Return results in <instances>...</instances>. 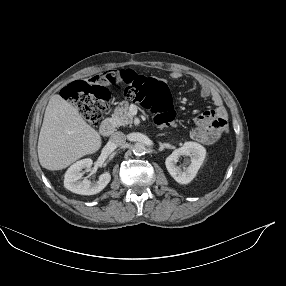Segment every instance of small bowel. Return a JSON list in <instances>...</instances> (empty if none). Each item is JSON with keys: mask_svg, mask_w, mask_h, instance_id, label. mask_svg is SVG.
<instances>
[{"mask_svg": "<svg viewBox=\"0 0 286 286\" xmlns=\"http://www.w3.org/2000/svg\"><path fill=\"white\" fill-rule=\"evenodd\" d=\"M170 77L172 79H179L182 77V73L180 71L175 70V71H172L170 73ZM200 95L203 98L211 99L212 103L215 106L214 109L205 111V112L201 113L200 115H205L207 113H214V114L218 115L226 124L227 113H226V110L223 106V100H222L220 94L210 84H208L206 82H201L200 83ZM157 123L162 124V122H159V121H157ZM203 143L210 144L208 142H203Z\"/></svg>", "mask_w": 286, "mask_h": 286, "instance_id": "small-bowel-1", "label": "small bowel"}]
</instances>
